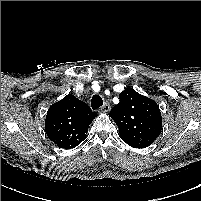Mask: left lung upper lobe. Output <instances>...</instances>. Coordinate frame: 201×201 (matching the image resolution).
I'll return each instance as SVG.
<instances>
[{
    "instance_id": "1",
    "label": "left lung upper lobe",
    "mask_w": 201,
    "mask_h": 201,
    "mask_svg": "<svg viewBox=\"0 0 201 201\" xmlns=\"http://www.w3.org/2000/svg\"><path fill=\"white\" fill-rule=\"evenodd\" d=\"M119 98L109 116L117 124L121 139L135 148L150 146L162 130L159 106L131 88L122 91Z\"/></svg>"
}]
</instances>
